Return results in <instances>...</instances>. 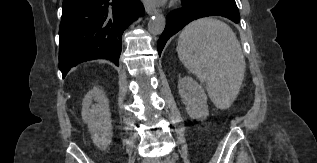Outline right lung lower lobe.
Returning a JSON list of instances; mask_svg holds the SVG:
<instances>
[{"mask_svg":"<svg viewBox=\"0 0 317 163\" xmlns=\"http://www.w3.org/2000/svg\"><path fill=\"white\" fill-rule=\"evenodd\" d=\"M143 14L139 0H63L59 29L63 78L88 60L108 59L118 66L123 31Z\"/></svg>","mask_w":317,"mask_h":163,"instance_id":"1","label":"right lung lower lobe"}]
</instances>
